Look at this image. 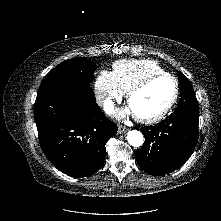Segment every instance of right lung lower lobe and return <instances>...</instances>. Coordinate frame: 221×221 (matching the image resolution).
<instances>
[{
	"mask_svg": "<svg viewBox=\"0 0 221 221\" xmlns=\"http://www.w3.org/2000/svg\"><path fill=\"white\" fill-rule=\"evenodd\" d=\"M34 116L46 157L73 177L93 175L104 163L106 142L117 133L88 83L39 90Z\"/></svg>",
	"mask_w": 221,
	"mask_h": 221,
	"instance_id": "obj_1",
	"label": "right lung lower lobe"
}]
</instances>
